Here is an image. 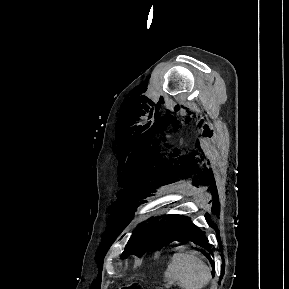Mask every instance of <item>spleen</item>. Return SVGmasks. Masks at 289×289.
<instances>
[{"label": "spleen", "mask_w": 289, "mask_h": 289, "mask_svg": "<svg viewBox=\"0 0 289 289\" xmlns=\"http://www.w3.org/2000/svg\"><path fill=\"white\" fill-rule=\"evenodd\" d=\"M211 278L210 268L191 251L175 253L164 272V281L181 289H202Z\"/></svg>", "instance_id": "obj_1"}]
</instances>
